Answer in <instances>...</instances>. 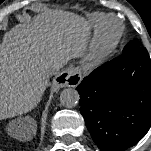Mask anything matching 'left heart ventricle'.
Segmentation results:
<instances>
[{
	"mask_svg": "<svg viewBox=\"0 0 151 151\" xmlns=\"http://www.w3.org/2000/svg\"><path fill=\"white\" fill-rule=\"evenodd\" d=\"M117 27H118V24H117V22H115V21H110V22L108 23V31H109L110 33L115 32V31L117 30Z\"/></svg>",
	"mask_w": 151,
	"mask_h": 151,
	"instance_id": "obj_1",
	"label": "left heart ventricle"
}]
</instances>
